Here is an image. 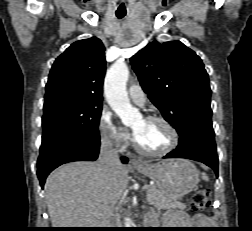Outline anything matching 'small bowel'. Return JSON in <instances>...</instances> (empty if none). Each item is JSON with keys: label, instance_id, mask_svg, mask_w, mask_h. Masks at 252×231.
Listing matches in <instances>:
<instances>
[{"label": "small bowel", "instance_id": "small-bowel-1", "mask_svg": "<svg viewBox=\"0 0 252 231\" xmlns=\"http://www.w3.org/2000/svg\"><path fill=\"white\" fill-rule=\"evenodd\" d=\"M167 219L174 221L177 225L190 228L194 231L195 229H201L209 223V218L202 214H197L192 218H189L183 211L176 210L167 214Z\"/></svg>", "mask_w": 252, "mask_h": 231}]
</instances>
